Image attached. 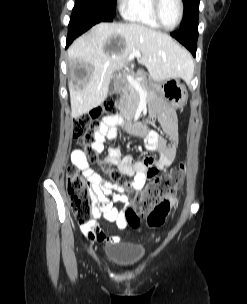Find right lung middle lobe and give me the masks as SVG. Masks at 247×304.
I'll return each instance as SVG.
<instances>
[{"label":"right lung middle lobe","instance_id":"dd1d6c3e","mask_svg":"<svg viewBox=\"0 0 247 304\" xmlns=\"http://www.w3.org/2000/svg\"><path fill=\"white\" fill-rule=\"evenodd\" d=\"M72 13L114 17L116 0H76Z\"/></svg>","mask_w":247,"mask_h":304}]
</instances>
